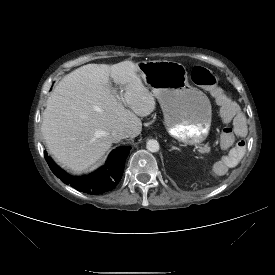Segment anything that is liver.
Segmentation results:
<instances>
[{"mask_svg":"<svg viewBox=\"0 0 275 275\" xmlns=\"http://www.w3.org/2000/svg\"><path fill=\"white\" fill-rule=\"evenodd\" d=\"M137 73V63L129 60L87 64L57 84L48 97L41 131L58 163L75 173L85 172L111 148L112 130L126 127L131 138L141 133L138 116L150 115L156 102ZM110 79L124 92L118 94Z\"/></svg>","mask_w":275,"mask_h":275,"instance_id":"6515ba94","label":"liver"}]
</instances>
